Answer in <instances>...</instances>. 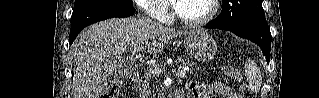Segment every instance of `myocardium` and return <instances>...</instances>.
<instances>
[{
	"label": "myocardium",
	"instance_id": "obj_1",
	"mask_svg": "<svg viewBox=\"0 0 319 98\" xmlns=\"http://www.w3.org/2000/svg\"><path fill=\"white\" fill-rule=\"evenodd\" d=\"M219 0H210V11L203 17L198 18V19H187L183 17L177 10L176 7L173 9V14L174 16L184 25L188 27H200L203 25L208 24L213 18L216 16L219 10Z\"/></svg>",
	"mask_w": 319,
	"mask_h": 98
}]
</instances>
